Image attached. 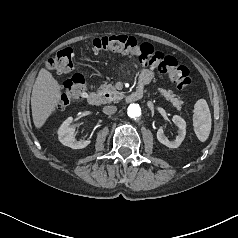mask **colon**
Here are the masks:
<instances>
[{
	"instance_id": "1",
	"label": "colon",
	"mask_w": 238,
	"mask_h": 238,
	"mask_svg": "<svg viewBox=\"0 0 238 238\" xmlns=\"http://www.w3.org/2000/svg\"><path fill=\"white\" fill-rule=\"evenodd\" d=\"M90 49L93 52H113L135 56L141 63L167 75L180 90L187 89L192 82L186 66L180 65L174 57L155 49L149 43L138 42L132 36L98 37L92 40ZM47 67L59 74L71 73L74 70V50L72 48L59 50L49 58ZM86 95L87 84L84 75L78 72L72 73L64 82V90L55 110H62L66 106L85 98Z\"/></svg>"
}]
</instances>
